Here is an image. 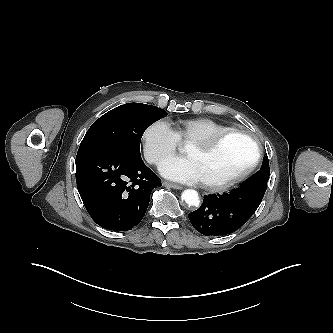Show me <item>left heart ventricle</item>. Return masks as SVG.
<instances>
[{
  "label": "left heart ventricle",
  "instance_id": "obj_1",
  "mask_svg": "<svg viewBox=\"0 0 333 333\" xmlns=\"http://www.w3.org/2000/svg\"><path fill=\"white\" fill-rule=\"evenodd\" d=\"M185 153L196 164L201 181L220 182L243 170L252 160L254 152L246 138L233 135L211 151L188 145Z\"/></svg>",
  "mask_w": 333,
  "mask_h": 333
}]
</instances>
